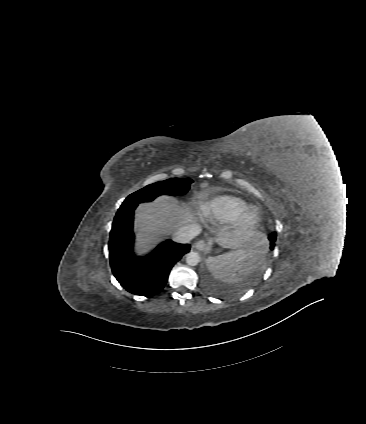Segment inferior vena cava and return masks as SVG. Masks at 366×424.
Returning <instances> with one entry per match:
<instances>
[{
	"instance_id": "602c4592",
	"label": "inferior vena cava",
	"mask_w": 366,
	"mask_h": 424,
	"mask_svg": "<svg viewBox=\"0 0 366 424\" xmlns=\"http://www.w3.org/2000/svg\"><path fill=\"white\" fill-rule=\"evenodd\" d=\"M198 228L194 225H185L173 233V239L179 243H188L191 241L196 235H198Z\"/></svg>"
}]
</instances>
